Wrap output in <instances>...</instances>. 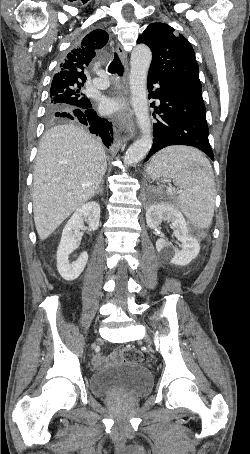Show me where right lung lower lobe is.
Segmentation results:
<instances>
[{
  "instance_id": "right-lung-lower-lobe-1",
  "label": "right lung lower lobe",
  "mask_w": 250,
  "mask_h": 454,
  "mask_svg": "<svg viewBox=\"0 0 250 454\" xmlns=\"http://www.w3.org/2000/svg\"><path fill=\"white\" fill-rule=\"evenodd\" d=\"M65 119H72L87 126L92 134L99 136L106 147L113 142L112 124L107 120L99 117L91 109V103L84 104L81 107L73 108L71 111H60L57 113Z\"/></svg>"
}]
</instances>
